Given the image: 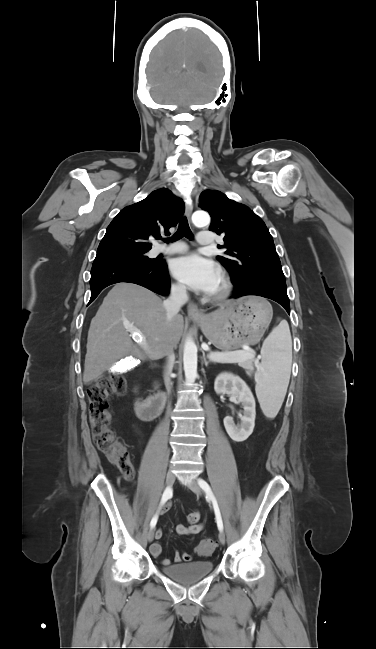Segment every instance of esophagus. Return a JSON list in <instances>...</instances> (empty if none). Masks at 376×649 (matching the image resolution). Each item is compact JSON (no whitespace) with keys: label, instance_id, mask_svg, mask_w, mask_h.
<instances>
[{"label":"esophagus","instance_id":"1","mask_svg":"<svg viewBox=\"0 0 376 649\" xmlns=\"http://www.w3.org/2000/svg\"><path fill=\"white\" fill-rule=\"evenodd\" d=\"M192 211H193V204L191 202H187L186 209H185V215L187 218L191 217ZM187 312L189 317L193 319H199L203 316L202 311L199 310L198 307L193 303H189L187 307Z\"/></svg>","mask_w":376,"mask_h":649}]
</instances>
